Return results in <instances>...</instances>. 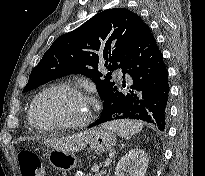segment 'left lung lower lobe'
Here are the masks:
<instances>
[{
    "label": "left lung lower lobe",
    "mask_w": 205,
    "mask_h": 176,
    "mask_svg": "<svg viewBox=\"0 0 205 176\" xmlns=\"http://www.w3.org/2000/svg\"><path fill=\"white\" fill-rule=\"evenodd\" d=\"M123 78L127 73L133 85L123 80L124 92L113 89L106 95L99 119L89 127L121 119H140L164 131L169 98L168 71L150 28L146 25L122 60Z\"/></svg>",
    "instance_id": "0a47b994"
}]
</instances>
